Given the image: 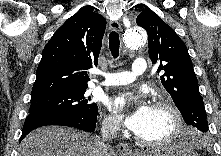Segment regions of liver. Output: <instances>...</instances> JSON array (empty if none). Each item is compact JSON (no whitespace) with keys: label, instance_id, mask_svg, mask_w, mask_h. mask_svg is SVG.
Listing matches in <instances>:
<instances>
[{"label":"liver","instance_id":"1","mask_svg":"<svg viewBox=\"0 0 221 156\" xmlns=\"http://www.w3.org/2000/svg\"><path fill=\"white\" fill-rule=\"evenodd\" d=\"M99 140L88 133L66 127H42L29 133L20 143L19 156H116L103 153Z\"/></svg>","mask_w":221,"mask_h":156}]
</instances>
